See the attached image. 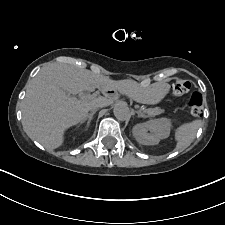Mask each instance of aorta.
I'll return each mask as SVG.
<instances>
[{"label":"aorta","instance_id":"aorta-1","mask_svg":"<svg viewBox=\"0 0 225 225\" xmlns=\"http://www.w3.org/2000/svg\"><path fill=\"white\" fill-rule=\"evenodd\" d=\"M113 112L115 117L120 121H126L131 116L129 107L123 102L116 103Z\"/></svg>","mask_w":225,"mask_h":225}]
</instances>
